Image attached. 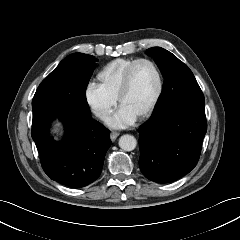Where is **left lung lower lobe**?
I'll return each instance as SVG.
<instances>
[{
  "label": "left lung lower lobe",
  "mask_w": 240,
  "mask_h": 240,
  "mask_svg": "<svg viewBox=\"0 0 240 240\" xmlns=\"http://www.w3.org/2000/svg\"><path fill=\"white\" fill-rule=\"evenodd\" d=\"M138 131L142 174L156 183L174 182L198 163L207 131L205 105L175 104Z\"/></svg>",
  "instance_id": "1"
}]
</instances>
